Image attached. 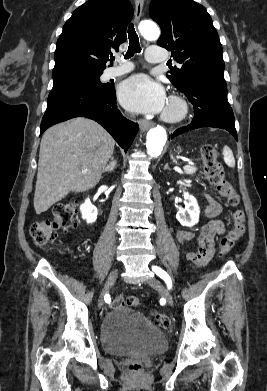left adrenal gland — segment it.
Wrapping results in <instances>:
<instances>
[{"mask_svg":"<svg viewBox=\"0 0 267 391\" xmlns=\"http://www.w3.org/2000/svg\"><path fill=\"white\" fill-rule=\"evenodd\" d=\"M169 169L168 164L165 165L164 170Z\"/></svg>","mask_w":267,"mask_h":391,"instance_id":"1","label":"left adrenal gland"}]
</instances>
